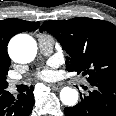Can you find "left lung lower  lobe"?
I'll use <instances>...</instances> for the list:
<instances>
[{
  "mask_svg": "<svg viewBox=\"0 0 116 116\" xmlns=\"http://www.w3.org/2000/svg\"><path fill=\"white\" fill-rule=\"evenodd\" d=\"M94 91L73 107H66V116H116V81L91 84Z\"/></svg>",
  "mask_w": 116,
  "mask_h": 116,
  "instance_id": "left-lung-lower-lobe-1",
  "label": "left lung lower lobe"
}]
</instances>
